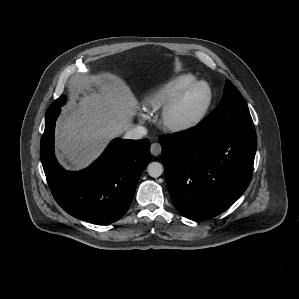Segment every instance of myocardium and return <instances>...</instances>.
<instances>
[{
  "label": "myocardium",
  "mask_w": 299,
  "mask_h": 299,
  "mask_svg": "<svg viewBox=\"0 0 299 299\" xmlns=\"http://www.w3.org/2000/svg\"><path fill=\"white\" fill-rule=\"evenodd\" d=\"M204 86L207 89L208 97L201 111L192 119L184 122H176L172 120L171 115L183 98L193 89ZM214 99V93L210 84L204 80H196L195 82L184 87L177 93L161 110L159 116V126L170 133H184L199 126L207 117Z\"/></svg>",
  "instance_id": "obj_1"
}]
</instances>
